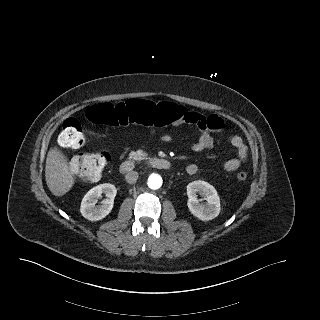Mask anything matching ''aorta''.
I'll use <instances>...</instances> for the list:
<instances>
[{
  "label": "aorta",
  "instance_id": "1",
  "mask_svg": "<svg viewBox=\"0 0 320 320\" xmlns=\"http://www.w3.org/2000/svg\"><path fill=\"white\" fill-rule=\"evenodd\" d=\"M163 180L162 177L158 174H151L148 178V186L150 189L156 190L162 186Z\"/></svg>",
  "mask_w": 320,
  "mask_h": 320
}]
</instances>
